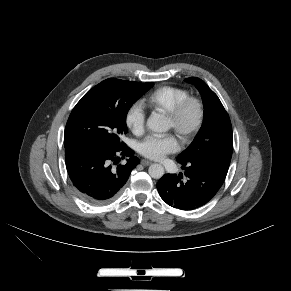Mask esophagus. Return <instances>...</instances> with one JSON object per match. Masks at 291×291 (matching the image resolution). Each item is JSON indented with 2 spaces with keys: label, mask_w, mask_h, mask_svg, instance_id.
Returning a JSON list of instances; mask_svg holds the SVG:
<instances>
[{
  "label": "esophagus",
  "mask_w": 291,
  "mask_h": 291,
  "mask_svg": "<svg viewBox=\"0 0 291 291\" xmlns=\"http://www.w3.org/2000/svg\"><path fill=\"white\" fill-rule=\"evenodd\" d=\"M141 164H142L143 166H149V165L152 164V162H151V161H148V160H146V159H142V160H141Z\"/></svg>",
  "instance_id": "obj_1"
}]
</instances>
